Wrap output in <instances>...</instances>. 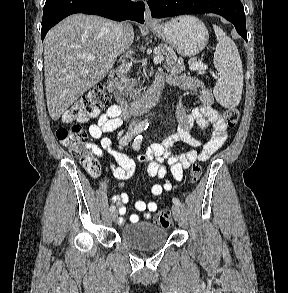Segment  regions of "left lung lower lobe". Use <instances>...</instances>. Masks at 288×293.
<instances>
[{"label": "left lung lower lobe", "instance_id": "0a47b994", "mask_svg": "<svg viewBox=\"0 0 288 293\" xmlns=\"http://www.w3.org/2000/svg\"><path fill=\"white\" fill-rule=\"evenodd\" d=\"M149 8L154 18L184 14L215 13L232 22L247 41L244 7L240 0H149Z\"/></svg>", "mask_w": 288, "mask_h": 293}]
</instances>
